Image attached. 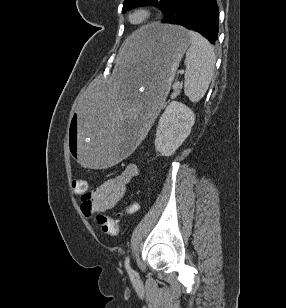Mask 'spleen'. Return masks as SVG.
I'll return each instance as SVG.
<instances>
[{"label": "spleen", "mask_w": 286, "mask_h": 308, "mask_svg": "<svg viewBox=\"0 0 286 308\" xmlns=\"http://www.w3.org/2000/svg\"><path fill=\"white\" fill-rule=\"evenodd\" d=\"M191 45L185 57L184 93L193 103L202 99L211 82L214 67L215 53L207 39L199 33L188 31Z\"/></svg>", "instance_id": "spleen-1"}]
</instances>
